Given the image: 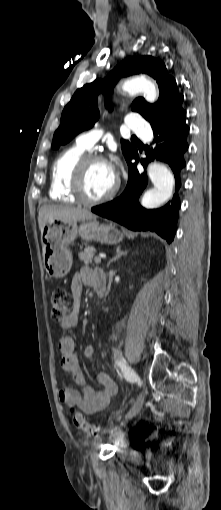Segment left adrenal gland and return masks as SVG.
<instances>
[{
  "mask_svg": "<svg viewBox=\"0 0 221 510\" xmlns=\"http://www.w3.org/2000/svg\"><path fill=\"white\" fill-rule=\"evenodd\" d=\"M126 254H127V251H122L120 246L117 247L116 255L108 262L107 267H109L111 263L120 259L123 255H126Z\"/></svg>",
  "mask_w": 221,
  "mask_h": 510,
  "instance_id": "obj_1",
  "label": "left adrenal gland"
}]
</instances>
